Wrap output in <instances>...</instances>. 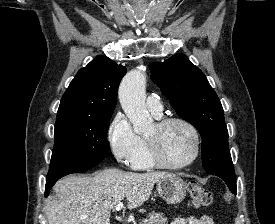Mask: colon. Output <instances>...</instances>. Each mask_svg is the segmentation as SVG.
Wrapping results in <instances>:
<instances>
[{
  "instance_id": "colon-1",
  "label": "colon",
  "mask_w": 275,
  "mask_h": 224,
  "mask_svg": "<svg viewBox=\"0 0 275 224\" xmlns=\"http://www.w3.org/2000/svg\"><path fill=\"white\" fill-rule=\"evenodd\" d=\"M188 190L191 202L194 207L202 208L211 204V193L207 189L202 187L199 183L194 181L190 182L188 185Z\"/></svg>"
}]
</instances>
